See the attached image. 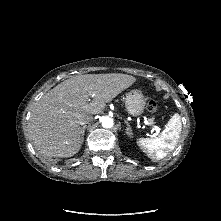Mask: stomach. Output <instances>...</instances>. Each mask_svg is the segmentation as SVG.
Listing matches in <instances>:
<instances>
[{
	"label": "stomach",
	"instance_id": "stomach-1",
	"mask_svg": "<svg viewBox=\"0 0 221 221\" xmlns=\"http://www.w3.org/2000/svg\"><path fill=\"white\" fill-rule=\"evenodd\" d=\"M146 98L140 90H131L126 94L125 108L131 116H139L144 112Z\"/></svg>",
	"mask_w": 221,
	"mask_h": 221
}]
</instances>
